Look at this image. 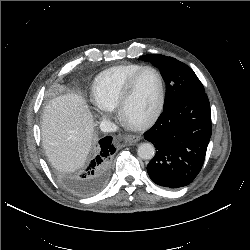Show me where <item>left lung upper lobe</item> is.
Instances as JSON below:
<instances>
[{
  "mask_svg": "<svg viewBox=\"0 0 250 250\" xmlns=\"http://www.w3.org/2000/svg\"><path fill=\"white\" fill-rule=\"evenodd\" d=\"M140 59L156 66L167 84L164 108L185 97L204 92L194 71L177 59L156 54L144 55Z\"/></svg>",
  "mask_w": 250,
  "mask_h": 250,
  "instance_id": "obj_1",
  "label": "left lung upper lobe"
}]
</instances>
